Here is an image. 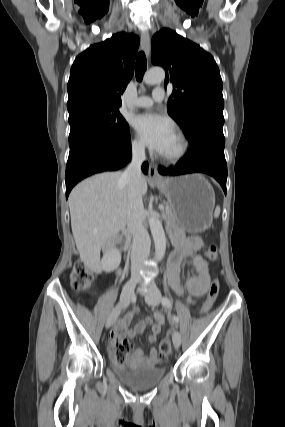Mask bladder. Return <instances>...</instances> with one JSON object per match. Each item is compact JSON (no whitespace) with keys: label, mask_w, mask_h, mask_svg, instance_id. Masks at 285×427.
<instances>
[{"label":"bladder","mask_w":285,"mask_h":427,"mask_svg":"<svg viewBox=\"0 0 285 427\" xmlns=\"http://www.w3.org/2000/svg\"><path fill=\"white\" fill-rule=\"evenodd\" d=\"M117 377L127 386L146 390L155 387L165 376L164 367H135L112 365Z\"/></svg>","instance_id":"1"}]
</instances>
